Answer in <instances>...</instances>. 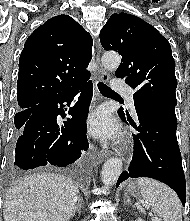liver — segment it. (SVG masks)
Wrapping results in <instances>:
<instances>
[{
    "mask_svg": "<svg viewBox=\"0 0 190 221\" xmlns=\"http://www.w3.org/2000/svg\"><path fill=\"white\" fill-rule=\"evenodd\" d=\"M79 189L57 174H32L20 180L4 202V221H68Z\"/></svg>",
    "mask_w": 190,
    "mask_h": 221,
    "instance_id": "liver-1",
    "label": "liver"
}]
</instances>
